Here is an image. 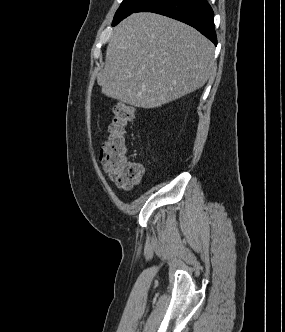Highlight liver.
Listing matches in <instances>:
<instances>
[{"mask_svg":"<svg viewBox=\"0 0 285 332\" xmlns=\"http://www.w3.org/2000/svg\"><path fill=\"white\" fill-rule=\"evenodd\" d=\"M215 70L214 45L196 29L134 13L114 28L97 83L107 97L150 109L201 88Z\"/></svg>","mask_w":285,"mask_h":332,"instance_id":"obj_1","label":"liver"}]
</instances>
